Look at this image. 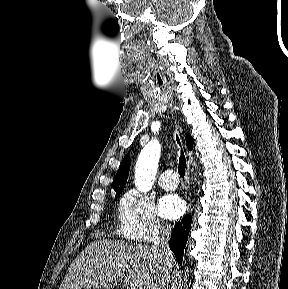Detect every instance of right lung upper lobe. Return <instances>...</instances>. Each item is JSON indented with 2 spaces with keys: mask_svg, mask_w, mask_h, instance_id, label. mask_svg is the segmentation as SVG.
Wrapping results in <instances>:
<instances>
[{
  "mask_svg": "<svg viewBox=\"0 0 288 289\" xmlns=\"http://www.w3.org/2000/svg\"><path fill=\"white\" fill-rule=\"evenodd\" d=\"M194 143L193 138L189 133L186 135V144L189 150H192V145ZM130 164H131V159L128 155H126L115 175V178L112 182L111 187L115 191H122L125 187L128 174H129V169H130Z\"/></svg>",
  "mask_w": 288,
  "mask_h": 289,
  "instance_id": "cb5924a9",
  "label": "right lung upper lobe"
}]
</instances>
